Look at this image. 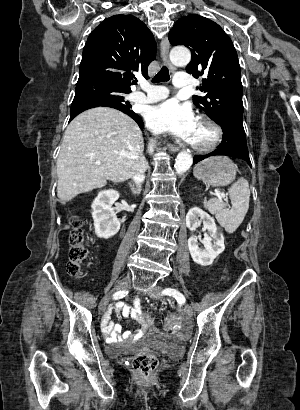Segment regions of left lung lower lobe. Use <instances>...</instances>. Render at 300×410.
Listing matches in <instances>:
<instances>
[{
    "label": "left lung lower lobe",
    "mask_w": 300,
    "mask_h": 410,
    "mask_svg": "<svg viewBox=\"0 0 300 410\" xmlns=\"http://www.w3.org/2000/svg\"><path fill=\"white\" fill-rule=\"evenodd\" d=\"M218 124L224 133L221 145L207 155L195 156L194 164L209 156L225 155L243 159L251 166L243 123L232 118H225Z\"/></svg>",
    "instance_id": "obj_1"
}]
</instances>
